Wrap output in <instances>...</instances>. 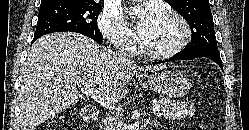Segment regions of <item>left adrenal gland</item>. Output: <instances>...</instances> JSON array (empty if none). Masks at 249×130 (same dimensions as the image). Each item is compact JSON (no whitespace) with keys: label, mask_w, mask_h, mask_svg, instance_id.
Returning <instances> with one entry per match:
<instances>
[{"label":"left adrenal gland","mask_w":249,"mask_h":130,"mask_svg":"<svg viewBox=\"0 0 249 130\" xmlns=\"http://www.w3.org/2000/svg\"><path fill=\"white\" fill-rule=\"evenodd\" d=\"M159 125H160V122H157V120H152L151 126H155L156 128H158Z\"/></svg>","instance_id":"left-adrenal-gland-1"}]
</instances>
